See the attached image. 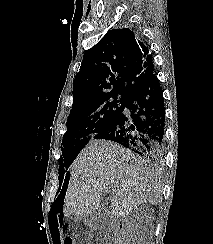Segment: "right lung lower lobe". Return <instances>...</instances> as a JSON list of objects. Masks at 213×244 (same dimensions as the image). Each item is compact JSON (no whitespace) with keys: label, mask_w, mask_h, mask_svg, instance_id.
Listing matches in <instances>:
<instances>
[{"label":"right lung lower lobe","mask_w":213,"mask_h":244,"mask_svg":"<svg viewBox=\"0 0 213 244\" xmlns=\"http://www.w3.org/2000/svg\"><path fill=\"white\" fill-rule=\"evenodd\" d=\"M126 109V110H125ZM165 108L159 80L153 73L129 98L123 112L94 139L111 140L138 155L159 162L164 156ZM64 180V190L68 183Z\"/></svg>","instance_id":"98d812e1"}]
</instances>
